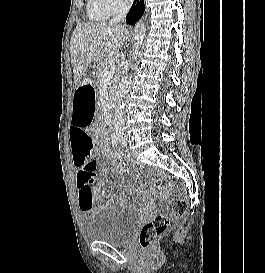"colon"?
Listing matches in <instances>:
<instances>
[{
	"label": "colon",
	"mask_w": 265,
	"mask_h": 273,
	"mask_svg": "<svg viewBox=\"0 0 265 273\" xmlns=\"http://www.w3.org/2000/svg\"><path fill=\"white\" fill-rule=\"evenodd\" d=\"M168 182L166 179H159L156 183L158 188H164ZM187 208V200L185 198L177 199L171 209V214H161L155 219L145 223L139 233V244L143 248H147L162 236L170 227L171 219L181 218Z\"/></svg>",
	"instance_id": "obj_1"
}]
</instances>
